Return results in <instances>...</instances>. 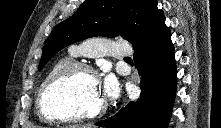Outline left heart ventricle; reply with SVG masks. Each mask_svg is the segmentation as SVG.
<instances>
[{
    "instance_id": "1",
    "label": "left heart ventricle",
    "mask_w": 221,
    "mask_h": 128,
    "mask_svg": "<svg viewBox=\"0 0 221 128\" xmlns=\"http://www.w3.org/2000/svg\"><path fill=\"white\" fill-rule=\"evenodd\" d=\"M103 100L99 82L90 74L78 72L49 91L46 108L59 114H78L97 109Z\"/></svg>"
}]
</instances>
